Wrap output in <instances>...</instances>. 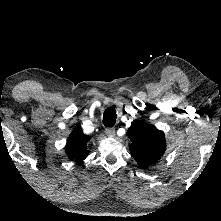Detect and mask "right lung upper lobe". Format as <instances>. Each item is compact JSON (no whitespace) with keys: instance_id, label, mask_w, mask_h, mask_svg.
Instances as JSON below:
<instances>
[{"instance_id":"obj_1","label":"right lung upper lobe","mask_w":221,"mask_h":221,"mask_svg":"<svg viewBox=\"0 0 221 221\" xmlns=\"http://www.w3.org/2000/svg\"><path fill=\"white\" fill-rule=\"evenodd\" d=\"M90 138V136L85 135L79 128L74 129L65 147L68 157L75 162L84 160L88 155L87 146Z\"/></svg>"}]
</instances>
